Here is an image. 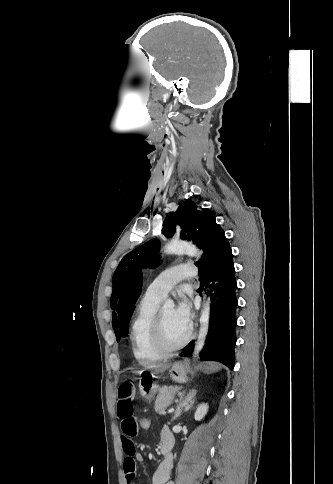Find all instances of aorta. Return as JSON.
I'll list each match as a JSON object with an SVG mask.
<instances>
[{"mask_svg": "<svg viewBox=\"0 0 333 484\" xmlns=\"http://www.w3.org/2000/svg\"><path fill=\"white\" fill-rule=\"evenodd\" d=\"M164 252L167 254L187 253L189 256H192V257H200L202 255V252L194 244L187 243L184 241H179V240H172L171 242H169L165 246ZM173 306H174V302L171 299H167L164 303V308L166 309L172 308ZM209 318H210V306H209V302H207L203 305V308L201 310L200 330H199V335H198V339L195 344V350H194L195 356L199 355V352L201 351V349L205 344V340L209 330Z\"/></svg>", "mask_w": 333, "mask_h": 484, "instance_id": "obj_1", "label": "aorta"}]
</instances>
